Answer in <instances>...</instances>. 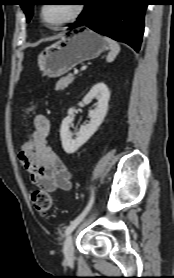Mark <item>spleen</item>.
<instances>
[{
  "label": "spleen",
  "instance_id": "spleen-1",
  "mask_svg": "<svg viewBox=\"0 0 174 278\" xmlns=\"http://www.w3.org/2000/svg\"><path fill=\"white\" fill-rule=\"evenodd\" d=\"M103 39L109 44L110 47V52L108 53L106 60L107 62H112L120 52V46L113 39H110L108 37H103Z\"/></svg>",
  "mask_w": 174,
  "mask_h": 278
}]
</instances>
